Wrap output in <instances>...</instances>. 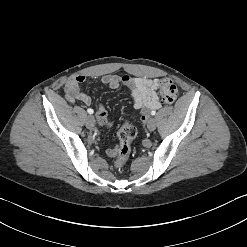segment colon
Wrapping results in <instances>:
<instances>
[{"label":"colon","mask_w":247,"mask_h":247,"mask_svg":"<svg viewBox=\"0 0 247 247\" xmlns=\"http://www.w3.org/2000/svg\"><path fill=\"white\" fill-rule=\"evenodd\" d=\"M159 90L162 100L167 104H173L177 99V88L169 79L159 80ZM119 144L114 147V164L118 169L124 167L131 152V143L137 136V129L126 122L117 133Z\"/></svg>","instance_id":"obj_1"}]
</instances>
